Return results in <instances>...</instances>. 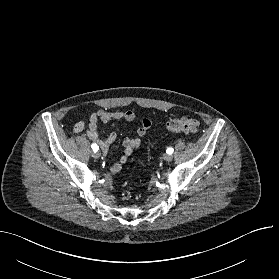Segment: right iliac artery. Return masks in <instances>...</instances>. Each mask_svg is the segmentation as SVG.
I'll list each match as a JSON object with an SVG mask.
<instances>
[{
	"mask_svg": "<svg viewBox=\"0 0 279 279\" xmlns=\"http://www.w3.org/2000/svg\"><path fill=\"white\" fill-rule=\"evenodd\" d=\"M91 147H92V149H93L94 152H96V151L98 150V148H99V147L97 146V144H95V143H93Z\"/></svg>",
	"mask_w": 279,
	"mask_h": 279,
	"instance_id": "right-iliac-artery-1",
	"label": "right iliac artery"
}]
</instances>
